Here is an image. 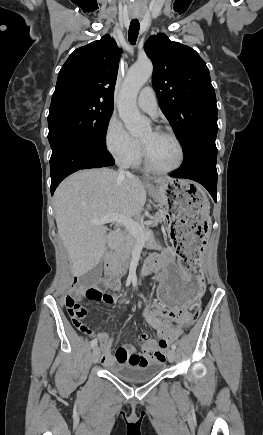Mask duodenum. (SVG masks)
<instances>
[{"label":"duodenum","mask_w":263,"mask_h":435,"mask_svg":"<svg viewBox=\"0 0 263 435\" xmlns=\"http://www.w3.org/2000/svg\"><path fill=\"white\" fill-rule=\"evenodd\" d=\"M105 267H106V272L109 276V280H110V285L112 287H116L118 284V281L116 279L117 276V272L114 269V264H113V253H108L106 256V261H105Z\"/></svg>","instance_id":"1"}]
</instances>
